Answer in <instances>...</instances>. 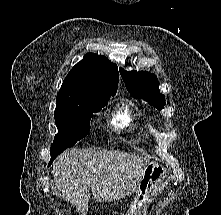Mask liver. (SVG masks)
I'll return each instance as SVG.
<instances>
[{"label": "liver", "instance_id": "1", "mask_svg": "<svg viewBox=\"0 0 221 215\" xmlns=\"http://www.w3.org/2000/svg\"><path fill=\"white\" fill-rule=\"evenodd\" d=\"M149 160L116 150L70 149L53 163V181L60 196L82 215L87 214L89 192L97 202H112L136 191Z\"/></svg>", "mask_w": 221, "mask_h": 215}]
</instances>
